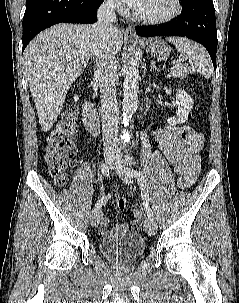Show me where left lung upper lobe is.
<instances>
[{
    "label": "left lung upper lobe",
    "instance_id": "left-lung-upper-lobe-1",
    "mask_svg": "<svg viewBox=\"0 0 239 303\" xmlns=\"http://www.w3.org/2000/svg\"><path fill=\"white\" fill-rule=\"evenodd\" d=\"M193 0H181L182 6L191 3Z\"/></svg>",
    "mask_w": 239,
    "mask_h": 303
}]
</instances>
